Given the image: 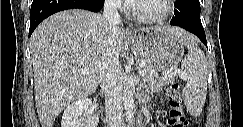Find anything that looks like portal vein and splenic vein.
I'll return each instance as SVG.
<instances>
[{
    "instance_id": "portal-vein-and-splenic-vein-1",
    "label": "portal vein and splenic vein",
    "mask_w": 243,
    "mask_h": 127,
    "mask_svg": "<svg viewBox=\"0 0 243 127\" xmlns=\"http://www.w3.org/2000/svg\"><path fill=\"white\" fill-rule=\"evenodd\" d=\"M87 73H88V70H82V74H87ZM138 73L140 75H143V74H145V70L143 68H140Z\"/></svg>"
}]
</instances>
